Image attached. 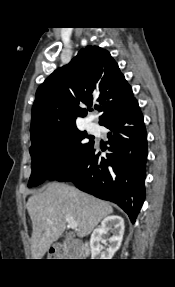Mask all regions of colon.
Returning a JSON list of instances; mask_svg holds the SVG:
<instances>
[{"label": "colon", "mask_w": 175, "mask_h": 287, "mask_svg": "<svg viewBox=\"0 0 175 287\" xmlns=\"http://www.w3.org/2000/svg\"><path fill=\"white\" fill-rule=\"evenodd\" d=\"M81 251H82V248H81V246L79 244H75L74 243V244H72L70 246V252L73 253V254L78 255V254L81 253ZM49 254H50L51 257H57L58 256V251L55 248H51Z\"/></svg>", "instance_id": "5ec220e1"}]
</instances>
